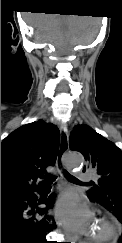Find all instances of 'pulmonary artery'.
<instances>
[{"label": "pulmonary artery", "instance_id": "pulmonary-artery-1", "mask_svg": "<svg viewBox=\"0 0 122 243\" xmlns=\"http://www.w3.org/2000/svg\"><path fill=\"white\" fill-rule=\"evenodd\" d=\"M80 180L81 181H89L95 178L92 172H80Z\"/></svg>", "mask_w": 122, "mask_h": 243}]
</instances>
